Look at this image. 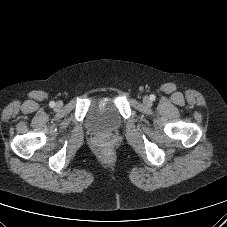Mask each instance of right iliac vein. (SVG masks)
Here are the masks:
<instances>
[{"label": "right iliac vein", "instance_id": "right-iliac-vein-1", "mask_svg": "<svg viewBox=\"0 0 227 227\" xmlns=\"http://www.w3.org/2000/svg\"><path fill=\"white\" fill-rule=\"evenodd\" d=\"M61 106V103L60 102H57L56 103V107H60Z\"/></svg>", "mask_w": 227, "mask_h": 227}]
</instances>
